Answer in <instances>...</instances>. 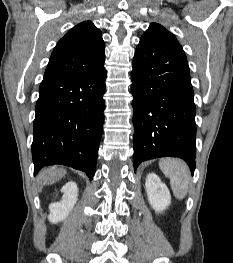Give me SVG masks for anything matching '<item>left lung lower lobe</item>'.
<instances>
[{
	"label": "left lung lower lobe",
	"mask_w": 233,
	"mask_h": 263,
	"mask_svg": "<svg viewBox=\"0 0 233 263\" xmlns=\"http://www.w3.org/2000/svg\"><path fill=\"white\" fill-rule=\"evenodd\" d=\"M131 79L134 169L145 160L174 156L193 173L196 107L182 47L140 41Z\"/></svg>",
	"instance_id": "0a47b994"
}]
</instances>
